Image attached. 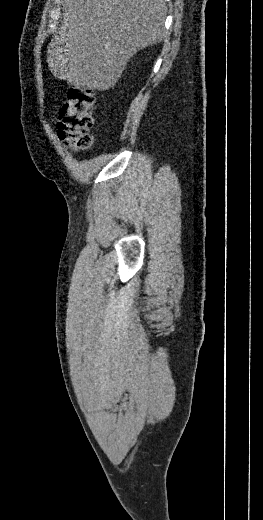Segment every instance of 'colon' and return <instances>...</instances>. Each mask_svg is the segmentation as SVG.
I'll use <instances>...</instances> for the list:
<instances>
[{
	"label": "colon",
	"instance_id": "1",
	"mask_svg": "<svg viewBox=\"0 0 263 520\" xmlns=\"http://www.w3.org/2000/svg\"><path fill=\"white\" fill-rule=\"evenodd\" d=\"M95 93L90 88L70 87L67 101L60 110L57 135L74 152L85 151L92 146L90 130L93 126L92 111Z\"/></svg>",
	"mask_w": 263,
	"mask_h": 520
}]
</instances>
